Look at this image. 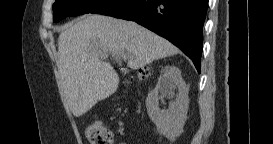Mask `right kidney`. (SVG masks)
I'll return each mask as SVG.
<instances>
[{
	"label": "right kidney",
	"mask_w": 273,
	"mask_h": 144,
	"mask_svg": "<svg viewBox=\"0 0 273 144\" xmlns=\"http://www.w3.org/2000/svg\"><path fill=\"white\" fill-rule=\"evenodd\" d=\"M177 88L179 94L176 101L170 103L168 110H160L159 99L174 94ZM188 90L179 69L174 66L166 67L156 88L147 97L149 117L156 125L157 131L167 139L173 140L183 131L189 103Z\"/></svg>",
	"instance_id": "obj_1"
}]
</instances>
